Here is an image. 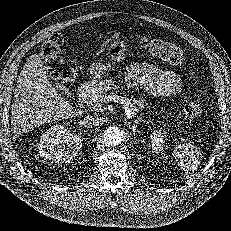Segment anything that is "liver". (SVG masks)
<instances>
[{"instance_id":"liver-1","label":"liver","mask_w":231,"mask_h":231,"mask_svg":"<svg viewBox=\"0 0 231 231\" xmlns=\"http://www.w3.org/2000/svg\"><path fill=\"white\" fill-rule=\"evenodd\" d=\"M82 110L60 97L50 84L39 55L27 60L19 76L11 108L13 139L52 121L77 117Z\"/></svg>"}]
</instances>
